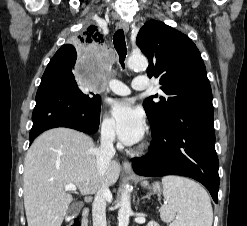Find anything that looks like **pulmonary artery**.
<instances>
[{"label": "pulmonary artery", "instance_id": "pulmonary-artery-1", "mask_svg": "<svg viewBox=\"0 0 247 226\" xmlns=\"http://www.w3.org/2000/svg\"><path fill=\"white\" fill-rule=\"evenodd\" d=\"M111 91L117 95L126 96L131 93V89L123 82L113 79L109 83ZM148 87L147 78L144 76L136 77L132 82V89L134 90H145Z\"/></svg>", "mask_w": 247, "mask_h": 226}]
</instances>
